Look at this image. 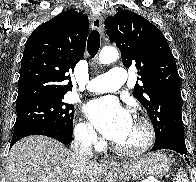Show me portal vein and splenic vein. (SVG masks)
<instances>
[{"instance_id": "portal-vein-and-splenic-vein-1", "label": "portal vein and splenic vein", "mask_w": 196, "mask_h": 182, "mask_svg": "<svg viewBox=\"0 0 196 182\" xmlns=\"http://www.w3.org/2000/svg\"><path fill=\"white\" fill-rule=\"evenodd\" d=\"M141 182H154L153 180L149 179V180H143Z\"/></svg>"}]
</instances>
